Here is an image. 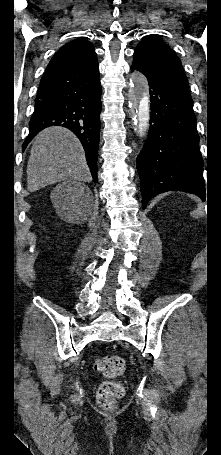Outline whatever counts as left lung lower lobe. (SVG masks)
<instances>
[{
	"label": "left lung lower lobe",
	"mask_w": 221,
	"mask_h": 455,
	"mask_svg": "<svg viewBox=\"0 0 221 455\" xmlns=\"http://www.w3.org/2000/svg\"><path fill=\"white\" fill-rule=\"evenodd\" d=\"M144 75L151 112L148 138L137 157L142 206L145 209L151 198L173 190L204 199L203 160L192 98L158 77Z\"/></svg>",
	"instance_id": "0a47b994"
}]
</instances>
